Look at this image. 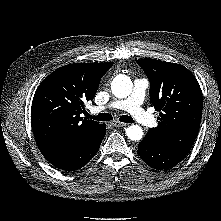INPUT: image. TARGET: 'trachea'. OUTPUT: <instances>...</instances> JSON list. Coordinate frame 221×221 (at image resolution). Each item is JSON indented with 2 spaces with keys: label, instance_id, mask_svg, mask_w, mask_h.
Listing matches in <instances>:
<instances>
[{
  "label": "trachea",
  "instance_id": "3493384b",
  "mask_svg": "<svg viewBox=\"0 0 221 221\" xmlns=\"http://www.w3.org/2000/svg\"><path fill=\"white\" fill-rule=\"evenodd\" d=\"M87 117L97 121H110L113 119L112 115L108 113H100L97 116H91L90 114H87ZM119 121L124 123H133V119L128 115H122L119 118Z\"/></svg>",
  "mask_w": 221,
  "mask_h": 221
}]
</instances>
